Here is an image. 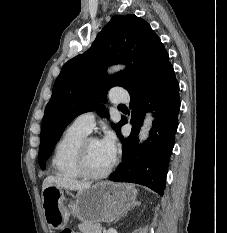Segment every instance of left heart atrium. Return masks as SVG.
Wrapping results in <instances>:
<instances>
[{"instance_id": "obj_1", "label": "left heart atrium", "mask_w": 227, "mask_h": 233, "mask_svg": "<svg viewBox=\"0 0 227 233\" xmlns=\"http://www.w3.org/2000/svg\"><path fill=\"white\" fill-rule=\"evenodd\" d=\"M101 147L112 157L115 158L117 152V139L115 134L106 130L102 139L99 141Z\"/></svg>"}]
</instances>
